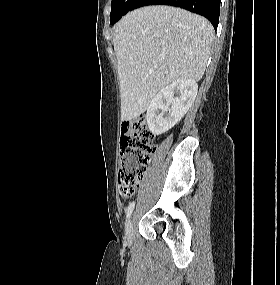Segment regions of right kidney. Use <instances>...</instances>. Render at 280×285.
<instances>
[{
    "label": "right kidney",
    "instance_id": "obj_1",
    "mask_svg": "<svg viewBox=\"0 0 280 285\" xmlns=\"http://www.w3.org/2000/svg\"><path fill=\"white\" fill-rule=\"evenodd\" d=\"M197 91L196 81L190 79L177 80L162 88L147 108L146 119L151 133L161 135L175 126L193 104Z\"/></svg>",
    "mask_w": 280,
    "mask_h": 285
}]
</instances>
